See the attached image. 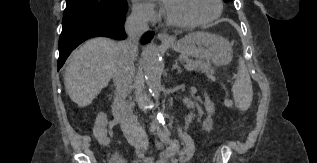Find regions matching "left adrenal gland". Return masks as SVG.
I'll return each instance as SVG.
<instances>
[{
    "label": "left adrenal gland",
    "instance_id": "a2214340",
    "mask_svg": "<svg viewBox=\"0 0 317 163\" xmlns=\"http://www.w3.org/2000/svg\"><path fill=\"white\" fill-rule=\"evenodd\" d=\"M175 69H177L178 72H180V67L178 66V60H175V63L173 65V67H172V70H175Z\"/></svg>",
    "mask_w": 317,
    "mask_h": 163
}]
</instances>
